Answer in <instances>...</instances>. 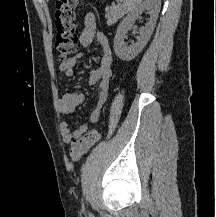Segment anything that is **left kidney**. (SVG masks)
<instances>
[{
  "label": "left kidney",
  "instance_id": "left-kidney-1",
  "mask_svg": "<svg viewBox=\"0 0 216 217\" xmlns=\"http://www.w3.org/2000/svg\"><path fill=\"white\" fill-rule=\"evenodd\" d=\"M161 0H145L132 12H130L120 23L114 38V51L121 60L130 61L134 59L146 46L156 25L160 11ZM150 11V19L144 28L140 29L137 42L127 46L124 38L129 29H131L135 20L145 11Z\"/></svg>",
  "mask_w": 216,
  "mask_h": 217
}]
</instances>
